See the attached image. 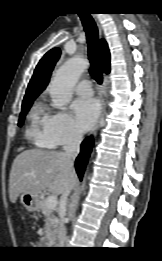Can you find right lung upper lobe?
Wrapping results in <instances>:
<instances>
[{
    "label": "right lung upper lobe",
    "mask_w": 162,
    "mask_h": 261,
    "mask_svg": "<svg viewBox=\"0 0 162 261\" xmlns=\"http://www.w3.org/2000/svg\"><path fill=\"white\" fill-rule=\"evenodd\" d=\"M102 49V63L104 65V72H110V52L108 45L105 40L101 41ZM60 57V49L54 48L48 51L44 57L40 60L34 74L28 84L26 94L24 96L23 102L27 100H32L46 88L48 85L51 72L54 68V65Z\"/></svg>",
    "instance_id": "obj_1"
}]
</instances>
